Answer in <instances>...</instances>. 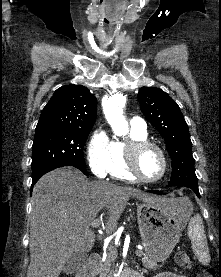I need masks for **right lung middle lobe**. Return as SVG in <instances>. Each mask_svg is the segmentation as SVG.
<instances>
[{"label": "right lung middle lobe", "instance_id": "1", "mask_svg": "<svg viewBox=\"0 0 221 277\" xmlns=\"http://www.w3.org/2000/svg\"><path fill=\"white\" fill-rule=\"evenodd\" d=\"M92 128H39L32 146L33 179L62 167L74 166L87 172L83 147Z\"/></svg>", "mask_w": 221, "mask_h": 277}]
</instances>
